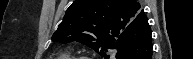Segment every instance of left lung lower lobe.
Instances as JSON below:
<instances>
[{
    "mask_svg": "<svg viewBox=\"0 0 193 59\" xmlns=\"http://www.w3.org/2000/svg\"><path fill=\"white\" fill-rule=\"evenodd\" d=\"M113 49L118 50L117 59H152L151 30L145 13L121 34Z\"/></svg>",
    "mask_w": 193,
    "mask_h": 59,
    "instance_id": "obj_1",
    "label": "left lung lower lobe"
}]
</instances>
